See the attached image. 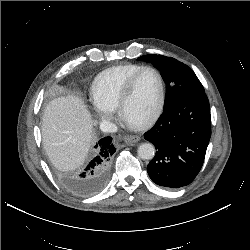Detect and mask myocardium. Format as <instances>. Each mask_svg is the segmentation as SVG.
Segmentation results:
<instances>
[{"instance_id": "1", "label": "myocardium", "mask_w": 250, "mask_h": 250, "mask_svg": "<svg viewBox=\"0 0 250 250\" xmlns=\"http://www.w3.org/2000/svg\"><path fill=\"white\" fill-rule=\"evenodd\" d=\"M144 71H152L156 75V77L158 79V83H159L158 99H157V102H156L152 112L146 118H144L142 121H140L138 123L131 124L125 120L123 110H124V106H125L126 102L128 101V99L131 95L133 86H134L137 78ZM164 102H165V83H164V79H163L161 73L156 68H154L152 66H143L138 71H136L129 78V80L126 82V84L124 85V87H123V89L118 97L115 108H116L118 116L120 117V119L122 121L126 122L129 125V127L136 129V130H140V129H144V128L152 125L158 119L159 115L162 112Z\"/></svg>"}]
</instances>
